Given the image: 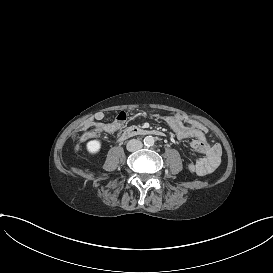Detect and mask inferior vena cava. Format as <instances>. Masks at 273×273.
Segmentation results:
<instances>
[{
  "instance_id": "1",
  "label": "inferior vena cava",
  "mask_w": 273,
  "mask_h": 273,
  "mask_svg": "<svg viewBox=\"0 0 273 273\" xmlns=\"http://www.w3.org/2000/svg\"><path fill=\"white\" fill-rule=\"evenodd\" d=\"M142 146H143V144L141 141H139L137 139H131L127 143V150L134 152V151L140 150L142 148Z\"/></svg>"
}]
</instances>
